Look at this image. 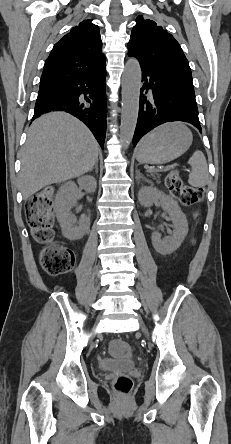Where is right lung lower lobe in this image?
Masks as SVG:
<instances>
[{
    "label": "right lung lower lobe",
    "mask_w": 231,
    "mask_h": 444,
    "mask_svg": "<svg viewBox=\"0 0 231 444\" xmlns=\"http://www.w3.org/2000/svg\"><path fill=\"white\" fill-rule=\"evenodd\" d=\"M106 70L40 87L32 120L50 111H66L83 121L103 148L106 132ZM82 95H86L84 99Z\"/></svg>",
    "instance_id": "obj_1"
}]
</instances>
